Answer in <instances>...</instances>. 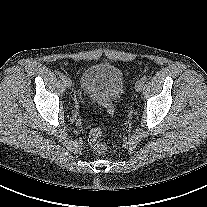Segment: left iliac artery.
Here are the masks:
<instances>
[{"label": "left iliac artery", "instance_id": "left-iliac-artery-1", "mask_svg": "<svg viewBox=\"0 0 207 207\" xmlns=\"http://www.w3.org/2000/svg\"><path fill=\"white\" fill-rule=\"evenodd\" d=\"M141 80H142L143 82H146L148 79H147L146 76H143V77L141 78Z\"/></svg>", "mask_w": 207, "mask_h": 207}]
</instances>
